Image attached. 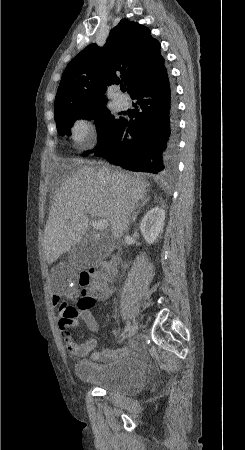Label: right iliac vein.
I'll use <instances>...</instances> for the list:
<instances>
[{
    "mask_svg": "<svg viewBox=\"0 0 245 450\" xmlns=\"http://www.w3.org/2000/svg\"><path fill=\"white\" fill-rule=\"evenodd\" d=\"M137 330H138V323L135 322L129 330L128 338H131L132 336H134L136 334Z\"/></svg>",
    "mask_w": 245,
    "mask_h": 450,
    "instance_id": "63e3f726",
    "label": "right iliac vein"
}]
</instances>
